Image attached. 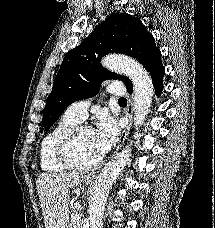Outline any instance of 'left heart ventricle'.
<instances>
[{"mask_svg": "<svg viewBox=\"0 0 215 228\" xmlns=\"http://www.w3.org/2000/svg\"><path fill=\"white\" fill-rule=\"evenodd\" d=\"M74 158L82 164H90L98 160L102 155L94 143V131L91 128H84L76 137L72 145Z\"/></svg>", "mask_w": 215, "mask_h": 228, "instance_id": "obj_1", "label": "left heart ventricle"}]
</instances>
